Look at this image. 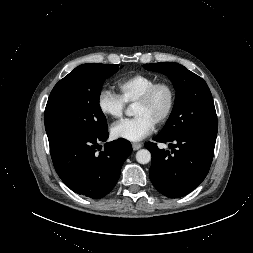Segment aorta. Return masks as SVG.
<instances>
[{
    "label": "aorta",
    "mask_w": 253,
    "mask_h": 253,
    "mask_svg": "<svg viewBox=\"0 0 253 253\" xmlns=\"http://www.w3.org/2000/svg\"><path fill=\"white\" fill-rule=\"evenodd\" d=\"M127 115H131V109L127 110ZM136 160L140 164H147L151 160V153L147 149H141L136 153Z\"/></svg>",
    "instance_id": "1"
}]
</instances>
